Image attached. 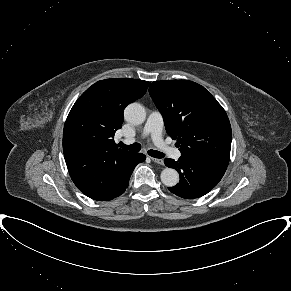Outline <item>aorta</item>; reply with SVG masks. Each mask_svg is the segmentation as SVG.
Wrapping results in <instances>:
<instances>
[{"label": "aorta", "instance_id": "1", "mask_svg": "<svg viewBox=\"0 0 291 291\" xmlns=\"http://www.w3.org/2000/svg\"><path fill=\"white\" fill-rule=\"evenodd\" d=\"M124 117L127 122L133 125H139L145 121L146 112L142 105L131 103L125 108ZM160 178L164 185L173 187L179 181V174L173 168H165L162 170Z\"/></svg>", "mask_w": 291, "mask_h": 291}]
</instances>
